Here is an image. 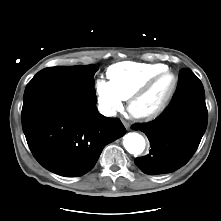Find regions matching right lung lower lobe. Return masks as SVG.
Segmentation results:
<instances>
[{"label":"right lung lower lobe","mask_w":221,"mask_h":221,"mask_svg":"<svg viewBox=\"0 0 221 221\" xmlns=\"http://www.w3.org/2000/svg\"><path fill=\"white\" fill-rule=\"evenodd\" d=\"M96 102L95 93L26 87L22 127L33 156L44 168L61 176H82L107 144L126 133L119 119L98 113Z\"/></svg>","instance_id":"98d812e1"}]
</instances>
